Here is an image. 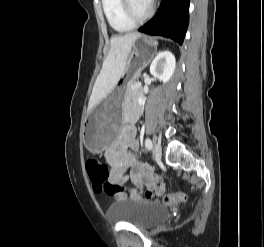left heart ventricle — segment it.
<instances>
[{
	"mask_svg": "<svg viewBox=\"0 0 264 247\" xmlns=\"http://www.w3.org/2000/svg\"><path fill=\"white\" fill-rule=\"evenodd\" d=\"M131 5L136 15H143L149 7L143 0H131Z\"/></svg>",
	"mask_w": 264,
	"mask_h": 247,
	"instance_id": "1",
	"label": "left heart ventricle"
}]
</instances>
